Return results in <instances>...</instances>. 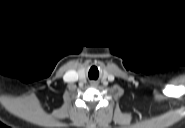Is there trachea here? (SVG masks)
Listing matches in <instances>:
<instances>
[{
	"mask_svg": "<svg viewBox=\"0 0 185 128\" xmlns=\"http://www.w3.org/2000/svg\"><path fill=\"white\" fill-rule=\"evenodd\" d=\"M88 76L90 79L96 80L99 77V71L96 66H92L89 70Z\"/></svg>",
	"mask_w": 185,
	"mask_h": 128,
	"instance_id": "3493384b",
	"label": "trachea"
}]
</instances>
